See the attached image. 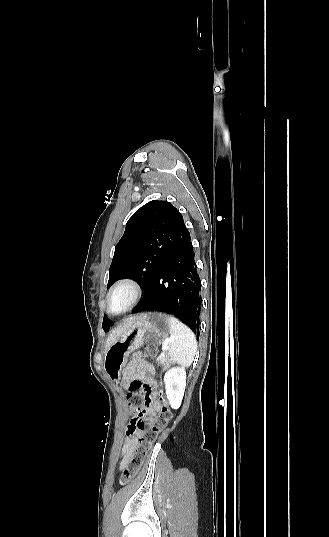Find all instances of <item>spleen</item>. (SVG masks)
<instances>
[{
	"label": "spleen",
	"mask_w": 329,
	"mask_h": 537,
	"mask_svg": "<svg viewBox=\"0 0 329 537\" xmlns=\"http://www.w3.org/2000/svg\"><path fill=\"white\" fill-rule=\"evenodd\" d=\"M169 356L183 366H190L197 351V341L189 327L170 317Z\"/></svg>",
	"instance_id": "3e777b00"
}]
</instances>
